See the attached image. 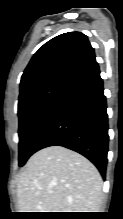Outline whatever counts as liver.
<instances>
[{
    "mask_svg": "<svg viewBox=\"0 0 123 219\" xmlns=\"http://www.w3.org/2000/svg\"><path fill=\"white\" fill-rule=\"evenodd\" d=\"M103 181L84 156L62 146L33 154L22 169L17 197L20 212H99Z\"/></svg>",
    "mask_w": 123,
    "mask_h": 219,
    "instance_id": "obj_1",
    "label": "liver"
}]
</instances>
